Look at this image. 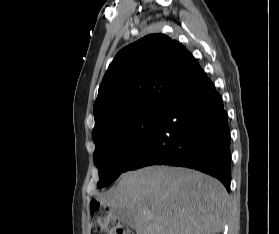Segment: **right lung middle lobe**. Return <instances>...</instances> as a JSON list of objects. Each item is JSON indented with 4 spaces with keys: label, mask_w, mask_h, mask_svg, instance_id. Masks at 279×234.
<instances>
[{
    "label": "right lung middle lobe",
    "mask_w": 279,
    "mask_h": 234,
    "mask_svg": "<svg viewBox=\"0 0 279 234\" xmlns=\"http://www.w3.org/2000/svg\"><path fill=\"white\" fill-rule=\"evenodd\" d=\"M165 107H146L107 122L93 140L94 162L99 169L97 187H105L124 172L125 166L158 123Z\"/></svg>",
    "instance_id": "dd1d6c3e"
}]
</instances>
